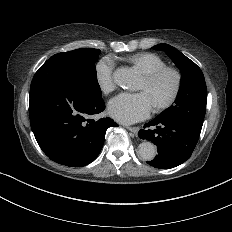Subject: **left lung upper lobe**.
Returning a JSON list of instances; mask_svg holds the SVG:
<instances>
[{
  "mask_svg": "<svg viewBox=\"0 0 232 232\" xmlns=\"http://www.w3.org/2000/svg\"><path fill=\"white\" fill-rule=\"evenodd\" d=\"M152 49L164 51L182 74L175 104L158 117L180 120L194 130L201 132L207 102V87L201 69L192 60L168 44H158Z\"/></svg>",
  "mask_w": 232,
  "mask_h": 232,
  "instance_id": "5c2ea615",
  "label": "left lung upper lobe"
}]
</instances>
